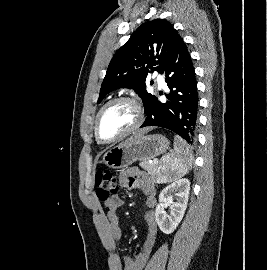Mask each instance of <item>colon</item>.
<instances>
[{
    "mask_svg": "<svg viewBox=\"0 0 267 270\" xmlns=\"http://www.w3.org/2000/svg\"><path fill=\"white\" fill-rule=\"evenodd\" d=\"M95 184L96 195L99 200L104 202L112 198L120 188V181L117 176L106 169L97 171Z\"/></svg>",
    "mask_w": 267,
    "mask_h": 270,
    "instance_id": "obj_1",
    "label": "colon"
}]
</instances>
